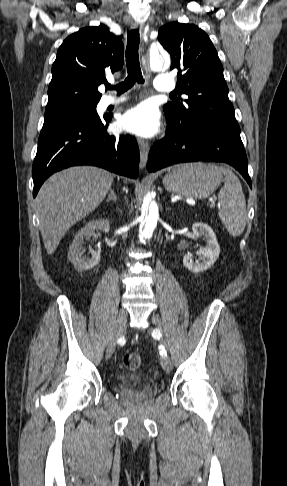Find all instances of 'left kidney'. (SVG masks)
<instances>
[{
	"label": "left kidney",
	"mask_w": 287,
	"mask_h": 486,
	"mask_svg": "<svg viewBox=\"0 0 287 486\" xmlns=\"http://www.w3.org/2000/svg\"><path fill=\"white\" fill-rule=\"evenodd\" d=\"M194 235L197 237L203 236L206 246L200 248L197 252L198 260H193L191 254H187L183 258V264L186 268L194 273H199L209 269L219 257L220 247L218 245L216 235L212 228L203 222L194 223L192 226Z\"/></svg>",
	"instance_id": "1"
}]
</instances>
